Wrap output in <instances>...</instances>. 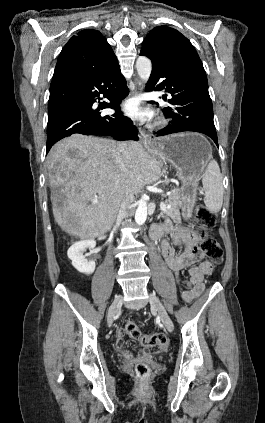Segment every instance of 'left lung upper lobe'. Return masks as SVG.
Instances as JSON below:
<instances>
[{"label":"left lung upper lobe","instance_id":"left-lung-upper-lobe-1","mask_svg":"<svg viewBox=\"0 0 265 423\" xmlns=\"http://www.w3.org/2000/svg\"><path fill=\"white\" fill-rule=\"evenodd\" d=\"M190 41L176 29L159 26L149 32L143 41L140 55H145L158 62L166 55H169L179 44Z\"/></svg>","mask_w":265,"mask_h":423}]
</instances>
